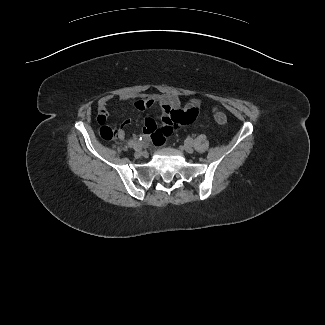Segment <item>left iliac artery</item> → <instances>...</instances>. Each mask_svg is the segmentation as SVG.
Listing matches in <instances>:
<instances>
[{
	"label": "left iliac artery",
	"instance_id": "44dca946",
	"mask_svg": "<svg viewBox=\"0 0 325 325\" xmlns=\"http://www.w3.org/2000/svg\"><path fill=\"white\" fill-rule=\"evenodd\" d=\"M186 142L188 143V144H193V139L192 138H188L187 140H186Z\"/></svg>",
	"mask_w": 325,
	"mask_h": 325
}]
</instances>
